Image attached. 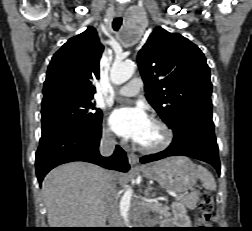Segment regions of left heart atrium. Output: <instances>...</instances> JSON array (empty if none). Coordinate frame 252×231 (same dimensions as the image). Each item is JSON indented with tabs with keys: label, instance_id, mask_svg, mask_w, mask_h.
Masks as SVG:
<instances>
[{
	"label": "left heart atrium",
	"instance_id": "39dd6f15",
	"mask_svg": "<svg viewBox=\"0 0 252 231\" xmlns=\"http://www.w3.org/2000/svg\"><path fill=\"white\" fill-rule=\"evenodd\" d=\"M151 119L141 105L115 109L109 118L112 130L119 136L140 142L147 132Z\"/></svg>",
	"mask_w": 252,
	"mask_h": 231
}]
</instances>
